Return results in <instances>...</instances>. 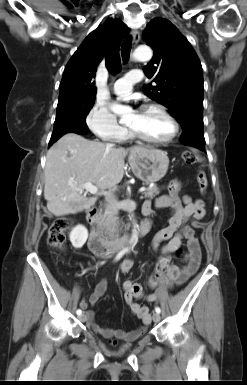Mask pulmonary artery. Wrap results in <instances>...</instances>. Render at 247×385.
I'll return each mask as SVG.
<instances>
[{"instance_id": "obj_1", "label": "pulmonary artery", "mask_w": 247, "mask_h": 385, "mask_svg": "<svg viewBox=\"0 0 247 385\" xmlns=\"http://www.w3.org/2000/svg\"><path fill=\"white\" fill-rule=\"evenodd\" d=\"M142 79L140 70H130L126 75L114 83V92L119 96H127L131 93L134 84Z\"/></svg>"}]
</instances>
